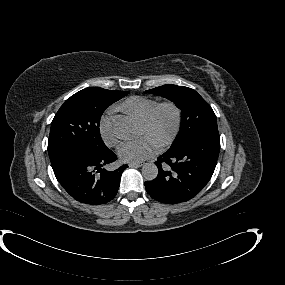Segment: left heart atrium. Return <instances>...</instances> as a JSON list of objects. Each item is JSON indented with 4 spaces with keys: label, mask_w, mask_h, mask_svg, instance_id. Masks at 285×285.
I'll use <instances>...</instances> for the list:
<instances>
[{
    "label": "left heart atrium",
    "mask_w": 285,
    "mask_h": 285,
    "mask_svg": "<svg viewBox=\"0 0 285 285\" xmlns=\"http://www.w3.org/2000/svg\"><path fill=\"white\" fill-rule=\"evenodd\" d=\"M122 152L125 157L140 160L149 153L148 141L140 139L123 146Z\"/></svg>",
    "instance_id": "obj_1"
}]
</instances>
